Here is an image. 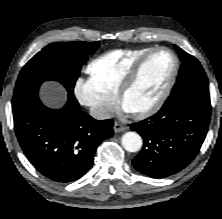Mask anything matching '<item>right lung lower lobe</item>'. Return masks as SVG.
<instances>
[{
    "label": "right lung lower lobe",
    "instance_id": "98d812e1",
    "mask_svg": "<svg viewBox=\"0 0 222 219\" xmlns=\"http://www.w3.org/2000/svg\"><path fill=\"white\" fill-rule=\"evenodd\" d=\"M67 91L68 101L59 110L47 108L38 97L13 107L15 132L27 159L59 183L81 178L92 167L97 146L113 135V120H95Z\"/></svg>",
    "mask_w": 222,
    "mask_h": 219
}]
</instances>
